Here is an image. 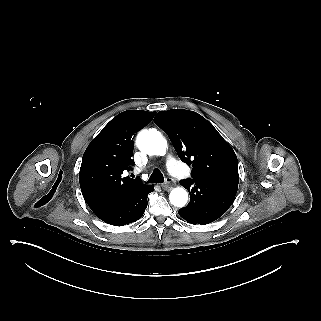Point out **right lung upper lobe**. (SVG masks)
Here are the masks:
<instances>
[{"label": "right lung upper lobe", "instance_id": "right-lung-upper-lobe-1", "mask_svg": "<svg viewBox=\"0 0 321 321\" xmlns=\"http://www.w3.org/2000/svg\"><path fill=\"white\" fill-rule=\"evenodd\" d=\"M156 112L127 110L114 117L88 145L79 172L80 188L92 210L118 202L146 185L123 177L131 169L132 136L146 126Z\"/></svg>", "mask_w": 321, "mask_h": 321}]
</instances>
